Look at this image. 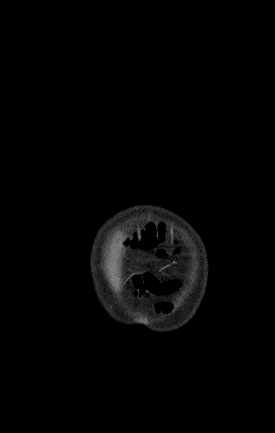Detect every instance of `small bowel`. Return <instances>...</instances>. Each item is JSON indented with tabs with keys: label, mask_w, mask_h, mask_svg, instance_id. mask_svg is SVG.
<instances>
[{
	"label": "small bowel",
	"mask_w": 275,
	"mask_h": 433,
	"mask_svg": "<svg viewBox=\"0 0 275 433\" xmlns=\"http://www.w3.org/2000/svg\"><path fill=\"white\" fill-rule=\"evenodd\" d=\"M134 285L139 295H151L168 297L173 295L179 288L180 284L175 280H161L151 272H145L134 278ZM160 310L168 311L167 304H160Z\"/></svg>",
	"instance_id": "c3829d8e"
}]
</instances>
